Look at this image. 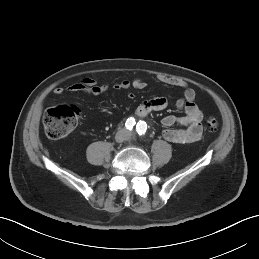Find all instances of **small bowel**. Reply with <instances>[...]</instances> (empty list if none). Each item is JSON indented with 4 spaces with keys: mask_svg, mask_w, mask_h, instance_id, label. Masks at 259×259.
<instances>
[{
    "mask_svg": "<svg viewBox=\"0 0 259 259\" xmlns=\"http://www.w3.org/2000/svg\"><path fill=\"white\" fill-rule=\"evenodd\" d=\"M158 80L168 85L183 89V95L176 101V108L184 111V116L176 117L167 115L162 119V124L166 127L163 131L165 140L174 144H190L199 141L203 135L202 120L203 113L195 102L196 93L189 87L187 81L181 78L159 75ZM116 91H127L131 88L142 90L146 88V83L141 78L132 80L124 79L113 86ZM108 91V85L100 84L92 78H85L74 83L67 88L57 87L54 93L61 96L65 93L82 92L86 95L97 96ZM132 97V94H129ZM168 107V101L164 97H155L141 102L135 110L138 117H145L152 112L162 111ZM178 125L181 128H173Z\"/></svg>",
    "mask_w": 259,
    "mask_h": 259,
    "instance_id": "1",
    "label": "small bowel"
}]
</instances>
